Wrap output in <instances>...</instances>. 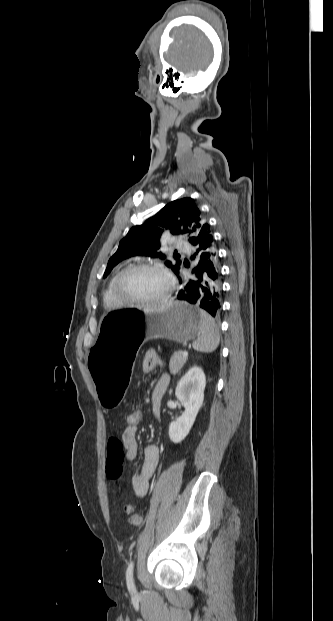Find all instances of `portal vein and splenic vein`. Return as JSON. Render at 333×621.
I'll return each instance as SVG.
<instances>
[{"label":"portal vein and splenic vein","mask_w":333,"mask_h":621,"mask_svg":"<svg viewBox=\"0 0 333 621\" xmlns=\"http://www.w3.org/2000/svg\"><path fill=\"white\" fill-rule=\"evenodd\" d=\"M182 356H183V357H185V358H187V357H188V352H187V351H183V352H182Z\"/></svg>","instance_id":"18ae733b"}]
</instances>
